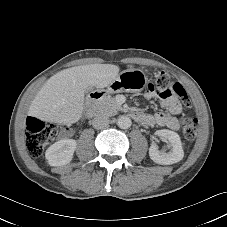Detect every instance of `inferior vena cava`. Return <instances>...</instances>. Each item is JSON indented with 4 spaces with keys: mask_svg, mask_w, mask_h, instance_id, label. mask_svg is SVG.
Returning <instances> with one entry per match:
<instances>
[{
    "mask_svg": "<svg viewBox=\"0 0 227 227\" xmlns=\"http://www.w3.org/2000/svg\"><path fill=\"white\" fill-rule=\"evenodd\" d=\"M109 124V119L104 115H98L92 120V125L95 129H101Z\"/></svg>",
    "mask_w": 227,
    "mask_h": 227,
    "instance_id": "obj_1",
    "label": "inferior vena cava"
}]
</instances>
